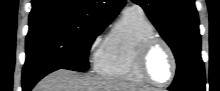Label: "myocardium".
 Instances as JSON below:
<instances>
[{"label":"myocardium","mask_w":220,"mask_h":91,"mask_svg":"<svg viewBox=\"0 0 220 91\" xmlns=\"http://www.w3.org/2000/svg\"><path fill=\"white\" fill-rule=\"evenodd\" d=\"M159 45L163 46L167 50L170 56V59H171V74H170L169 79L165 82L155 81L153 78H151L147 70L148 57L151 51L156 46H159ZM136 68H137L138 74L145 81V83H148L156 87H166L170 85L176 77V73H177L176 55L174 53L173 48L170 46V44L167 41H165L162 38L154 36V37L147 39L139 46L137 55H136Z\"/></svg>","instance_id":"myocardium-1"}]
</instances>
